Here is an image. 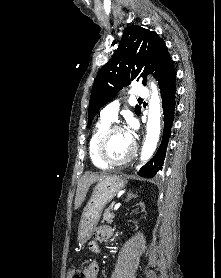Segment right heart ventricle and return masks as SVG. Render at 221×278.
<instances>
[{
	"mask_svg": "<svg viewBox=\"0 0 221 278\" xmlns=\"http://www.w3.org/2000/svg\"><path fill=\"white\" fill-rule=\"evenodd\" d=\"M111 122L101 118L99 122L95 125L92 134L90 136L89 142H88V152L91 159V162L94 166L98 168L105 169L107 168L106 165H104L97 156V143L99 140V137L103 133V131L110 126Z\"/></svg>",
	"mask_w": 221,
	"mask_h": 278,
	"instance_id": "obj_1",
	"label": "right heart ventricle"
}]
</instances>
